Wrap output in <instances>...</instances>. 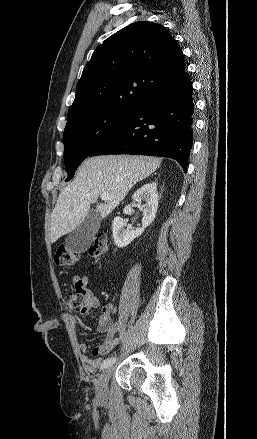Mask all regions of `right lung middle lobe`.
Listing matches in <instances>:
<instances>
[{"mask_svg": "<svg viewBox=\"0 0 257 439\" xmlns=\"http://www.w3.org/2000/svg\"><path fill=\"white\" fill-rule=\"evenodd\" d=\"M136 109L103 108L67 119L63 134L64 161L69 181L94 148L122 125Z\"/></svg>", "mask_w": 257, "mask_h": 439, "instance_id": "1", "label": "right lung middle lobe"}]
</instances>
